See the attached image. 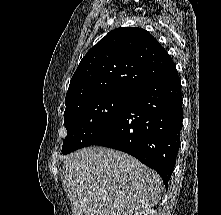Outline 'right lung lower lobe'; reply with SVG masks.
<instances>
[{
	"mask_svg": "<svg viewBox=\"0 0 221 215\" xmlns=\"http://www.w3.org/2000/svg\"><path fill=\"white\" fill-rule=\"evenodd\" d=\"M181 81L175 65L131 94L120 116L91 145L131 154L156 170L167 186L182 125Z\"/></svg>",
	"mask_w": 221,
	"mask_h": 215,
	"instance_id": "1",
	"label": "right lung lower lobe"
}]
</instances>
